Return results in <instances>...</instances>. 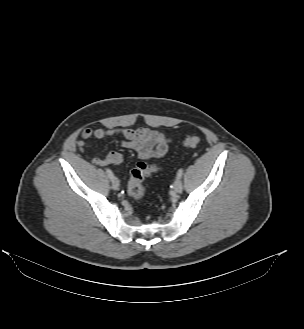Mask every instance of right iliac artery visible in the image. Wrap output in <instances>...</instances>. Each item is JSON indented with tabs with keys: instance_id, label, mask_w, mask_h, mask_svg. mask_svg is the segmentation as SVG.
Listing matches in <instances>:
<instances>
[{
	"instance_id": "right-iliac-artery-1",
	"label": "right iliac artery",
	"mask_w": 304,
	"mask_h": 329,
	"mask_svg": "<svg viewBox=\"0 0 304 329\" xmlns=\"http://www.w3.org/2000/svg\"><path fill=\"white\" fill-rule=\"evenodd\" d=\"M106 173H107L108 177H109V178L111 179V181H112V179L114 178V175H113L112 171H111L110 169H106Z\"/></svg>"
}]
</instances>
